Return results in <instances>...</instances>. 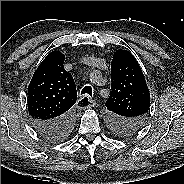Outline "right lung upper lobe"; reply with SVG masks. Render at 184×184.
<instances>
[{
	"instance_id": "cb5924a9",
	"label": "right lung upper lobe",
	"mask_w": 184,
	"mask_h": 184,
	"mask_svg": "<svg viewBox=\"0 0 184 184\" xmlns=\"http://www.w3.org/2000/svg\"><path fill=\"white\" fill-rule=\"evenodd\" d=\"M64 59L60 51H53L35 71L28 86V112L32 120L59 119L70 113L76 103V86L63 67Z\"/></svg>"
}]
</instances>
